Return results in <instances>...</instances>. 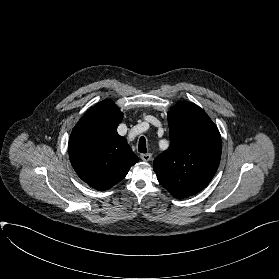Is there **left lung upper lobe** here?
<instances>
[{
	"mask_svg": "<svg viewBox=\"0 0 279 279\" xmlns=\"http://www.w3.org/2000/svg\"><path fill=\"white\" fill-rule=\"evenodd\" d=\"M170 147L154 160L160 184L176 198L204 189L221 158V136L203 109L179 102L168 112Z\"/></svg>",
	"mask_w": 279,
	"mask_h": 279,
	"instance_id": "obj_1",
	"label": "left lung upper lobe"
}]
</instances>
